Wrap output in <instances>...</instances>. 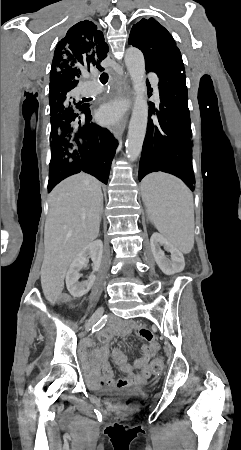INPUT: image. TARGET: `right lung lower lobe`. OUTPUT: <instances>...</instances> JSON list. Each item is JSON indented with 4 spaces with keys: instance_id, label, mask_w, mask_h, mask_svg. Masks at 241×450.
Listing matches in <instances>:
<instances>
[{
    "instance_id": "1",
    "label": "right lung lower lobe",
    "mask_w": 241,
    "mask_h": 450,
    "mask_svg": "<svg viewBox=\"0 0 241 450\" xmlns=\"http://www.w3.org/2000/svg\"><path fill=\"white\" fill-rule=\"evenodd\" d=\"M91 118L89 110L79 119L59 123L58 129L72 137L74 144L72 149L51 150L49 192L66 177L81 171L107 184L118 143L107 129L90 123Z\"/></svg>"
}]
</instances>
